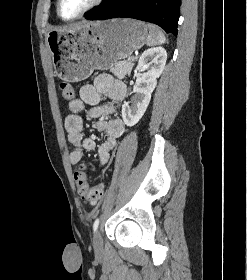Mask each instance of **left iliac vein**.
I'll list each match as a JSON object with an SVG mask.
<instances>
[{"label":"left iliac vein","instance_id":"obj_1","mask_svg":"<svg viewBox=\"0 0 247 280\" xmlns=\"http://www.w3.org/2000/svg\"><path fill=\"white\" fill-rule=\"evenodd\" d=\"M93 247L96 251H100L102 249V240L99 231H96L93 236Z\"/></svg>","mask_w":247,"mask_h":280}]
</instances>
